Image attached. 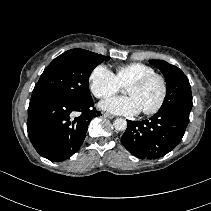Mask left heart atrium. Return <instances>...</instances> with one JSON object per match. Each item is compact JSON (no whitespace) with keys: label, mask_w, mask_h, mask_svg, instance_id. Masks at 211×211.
<instances>
[{"label":"left heart atrium","mask_w":211,"mask_h":211,"mask_svg":"<svg viewBox=\"0 0 211 211\" xmlns=\"http://www.w3.org/2000/svg\"><path fill=\"white\" fill-rule=\"evenodd\" d=\"M100 108L113 114L134 116L142 110L137 100L132 97H110L100 103Z\"/></svg>","instance_id":"39dd6f15"}]
</instances>
